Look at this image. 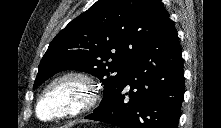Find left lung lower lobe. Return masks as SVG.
I'll return each mask as SVG.
<instances>
[{"label":"left lung lower lobe","instance_id":"left-lung-lower-lobe-1","mask_svg":"<svg viewBox=\"0 0 221 128\" xmlns=\"http://www.w3.org/2000/svg\"><path fill=\"white\" fill-rule=\"evenodd\" d=\"M184 89L181 47L168 17L136 54L113 98L85 119L118 128H177Z\"/></svg>","mask_w":221,"mask_h":128}]
</instances>
